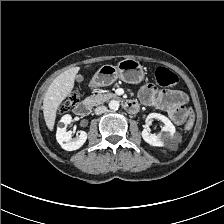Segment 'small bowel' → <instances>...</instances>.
Segmentation results:
<instances>
[{
	"label": "small bowel",
	"mask_w": 224,
	"mask_h": 224,
	"mask_svg": "<svg viewBox=\"0 0 224 224\" xmlns=\"http://www.w3.org/2000/svg\"><path fill=\"white\" fill-rule=\"evenodd\" d=\"M139 100L165 111L176 124L185 120L183 105L188 101V96L182 91H165L144 85L139 91Z\"/></svg>",
	"instance_id": "small-bowel-1"
}]
</instances>
